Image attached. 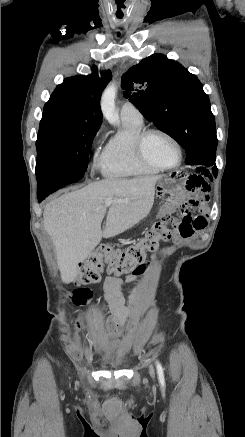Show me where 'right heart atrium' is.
<instances>
[{
	"label": "right heart atrium",
	"instance_id": "obj_1",
	"mask_svg": "<svg viewBox=\"0 0 245 437\" xmlns=\"http://www.w3.org/2000/svg\"><path fill=\"white\" fill-rule=\"evenodd\" d=\"M101 134H102V129L99 128V129L96 131V133L94 134L93 139H92V147H93V148H96V147H97V144H98V141H99V139H100ZM99 160H100V158L98 157V158H97V162H98V163H99Z\"/></svg>",
	"mask_w": 245,
	"mask_h": 437
}]
</instances>
